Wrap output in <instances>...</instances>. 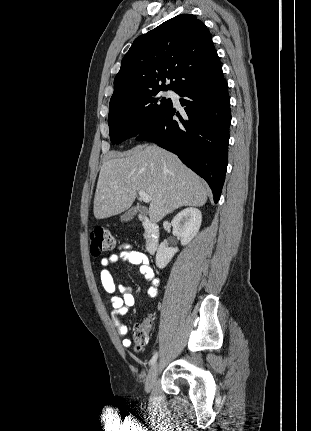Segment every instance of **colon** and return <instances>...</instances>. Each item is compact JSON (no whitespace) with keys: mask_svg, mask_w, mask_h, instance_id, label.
Returning <instances> with one entry per match:
<instances>
[{"mask_svg":"<svg viewBox=\"0 0 311 431\" xmlns=\"http://www.w3.org/2000/svg\"><path fill=\"white\" fill-rule=\"evenodd\" d=\"M91 253L93 256H99L102 253L112 251L115 247V239L108 229L97 227L90 235ZM153 330V321L151 318L144 319L136 323L133 327L132 334L135 349L141 351L147 345Z\"/></svg>","mask_w":311,"mask_h":431,"instance_id":"colon-1","label":"colon"}]
</instances>
